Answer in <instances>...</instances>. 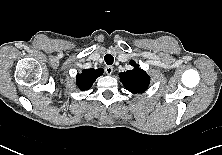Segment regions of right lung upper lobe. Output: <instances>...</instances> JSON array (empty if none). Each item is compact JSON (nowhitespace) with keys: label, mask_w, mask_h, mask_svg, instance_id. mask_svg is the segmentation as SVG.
Returning a JSON list of instances; mask_svg holds the SVG:
<instances>
[{"label":"right lung upper lobe","mask_w":222,"mask_h":155,"mask_svg":"<svg viewBox=\"0 0 222 155\" xmlns=\"http://www.w3.org/2000/svg\"><path fill=\"white\" fill-rule=\"evenodd\" d=\"M102 68L98 69H85L82 73L76 75V84L80 90H88L95 80L103 74Z\"/></svg>","instance_id":"1"}]
</instances>
